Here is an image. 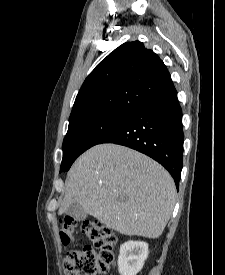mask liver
<instances>
[{
	"label": "liver",
	"mask_w": 225,
	"mask_h": 275,
	"mask_svg": "<svg viewBox=\"0 0 225 275\" xmlns=\"http://www.w3.org/2000/svg\"><path fill=\"white\" fill-rule=\"evenodd\" d=\"M176 187L148 156L116 144H98L72 165L58 213L78 202L87 214L124 235L158 238L170 219Z\"/></svg>",
	"instance_id": "6515ba94"
}]
</instances>
